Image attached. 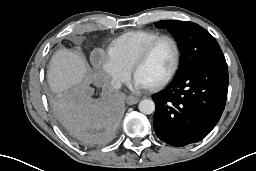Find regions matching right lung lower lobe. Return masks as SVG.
I'll use <instances>...</instances> for the list:
<instances>
[{
  "label": "right lung lower lobe",
  "instance_id": "98d812e1",
  "mask_svg": "<svg viewBox=\"0 0 256 171\" xmlns=\"http://www.w3.org/2000/svg\"><path fill=\"white\" fill-rule=\"evenodd\" d=\"M123 96L109 87L88 90L57 107L62 125L73 138L90 145L109 142L117 130Z\"/></svg>",
  "mask_w": 256,
  "mask_h": 171
}]
</instances>
